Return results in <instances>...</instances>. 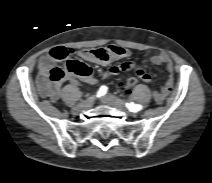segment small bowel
Here are the masks:
<instances>
[{
    "mask_svg": "<svg viewBox=\"0 0 212 183\" xmlns=\"http://www.w3.org/2000/svg\"><path fill=\"white\" fill-rule=\"evenodd\" d=\"M71 53V50H68ZM78 55L81 59L101 64L108 65L112 62L126 58L130 56V52L118 45H110L106 47L94 48V49H84L78 52ZM151 62L155 65H165L167 71L169 72V77L166 80L165 84L154 93V98L157 103H162L165 98L169 95L173 86V64L166 52H159L151 57ZM56 59L52 57L50 53L43 55L39 60V86L41 93L44 97H47L52 102H56L59 99L61 92V83L63 81H68L72 85H76L78 80H82L87 84L94 85L96 79L93 75L92 70L88 67V74L86 76H77L72 73H67L64 80L59 83H53L48 79L49 71L55 66ZM134 65L131 62H125L120 65L110 66L103 73L104 77H111L117 75L120 72L126 71L133 68ZM138 77L144 82H150L153 79V76L146 72L143 67L140 65L135 67Z\"/></svg>",
    "mask_w": 212,
    "mask_h": 183,
    "instance_id": "1",
    "label": "small bowel"
}]
</instances>
